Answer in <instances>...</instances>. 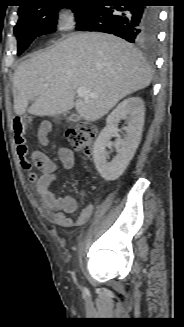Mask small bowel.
Here are the masks:
<instances>
[{"label": "small bowel", "mask_w": 184, "mask_h": 327, "mask_svg": "<svg viewBox=\"0 0 184 327\" xmlns=\"http://www.w3.org/2000/svg\"><path fill=\"white\" fill-rule=\"evenodd\" d=\"M50 125L45 123L38 130L37 138L42 146L49 143L48 134ZM58 158L65 170L73 168L75 163L74 153L67 147H59ZM20 157L21 165L28 171V180L36 185L37 192L41 199L42 209L47 219L57 225L70 228L73 226H81L87 222L92 216L94 206L86 204L76 220L71 219L67 215L75 213L78 204L75 198L70 195H56L52 189V185L58 181L57 165L43 152L36 151L33 154L32 161ZM33 167L38 168L41 174L38 175L33 171Z\"/></svg>", "instance_id": "small-bowel-1"}]
</instances>
